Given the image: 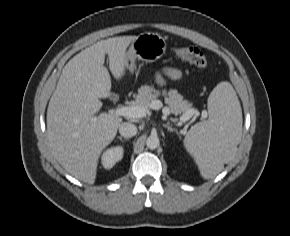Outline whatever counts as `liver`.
Returning <instances> with one entry per match:
<instances>
[{
    "instance_id": "obj_1",
    "label": "liver",
    "mask_w": 290,
    "mask_h": 236,
    "mask_svg": "<svg viewBox=\"0 0 290 236\" xmlns=\"http://www.w3.org/2000/svg\"><path fill=\"white\" fill-rule=\"evenodd\" d=\"M136 36L101 40L75 55L64 66L47 109V139L53 156L75 178L93 184L102 150L117 134L122 118L95 114L101 98L110 96L111 77L119 81L127 69L126 49Z\"/></svg>"
}]
</instances>
